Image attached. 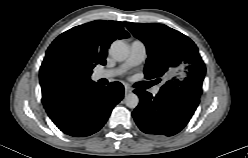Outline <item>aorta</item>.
<instances>
[{
    "label": "aorta",
    "mask_w": 248,
    "mask_h": 158,
    "mask_svg": "<svg viewBox=\"0 0 248 158\" xmlns=\"http://www.w3.org/2000/svg\"><path fill=\"white\" fill-rule=\"evenodd\" d=\"M109 53L116 61H124L129 55V49L125 42L116 40L111 44ZM124 102L127 107L134 109L139 104V98L135 93H129L125 96Z\"/></svg>",
    "instance_id": "762f6f07"
}]
</instances>
